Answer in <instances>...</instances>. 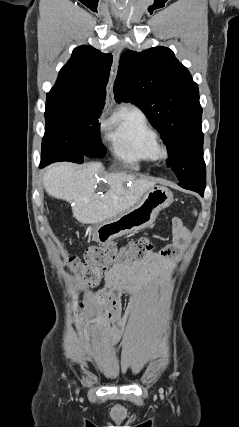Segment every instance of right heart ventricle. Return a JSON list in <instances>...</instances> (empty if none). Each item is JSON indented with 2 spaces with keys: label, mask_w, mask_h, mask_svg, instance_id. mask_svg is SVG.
<instances>
[{
  "label": "right heart ventricle",
  "mask_w": 239,
  "mask_h": 427,
  "mask_svg": "<svg viewBox=\"0 0 239 427\" xmlns=\"http://www.w3.org/2000/svg\"><path fill=\"white\" fill-rule=\"evenodd\" d=\"M107 138L113 154L134 169L155 160L154 149L159 143L157 132L137 107L123 110L112 118Z\"/></svg>",
  "instance_id": "1"
}]
</instances>
